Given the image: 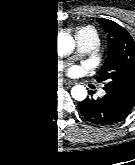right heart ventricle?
Masks as SVG:
<instances>
[{"instance_id": "right-heart-ventricle-1", "label": "right heart ventricle", "mask_w": 135, "mask_h": 165, "mask_svg": "<svg viewBox=\"0 0 135 165\" xmlns=\"http://www.w3.org/2000/svg\"><path fill=\"white\" fill-rule=\"evenodd\" d=\"M78 36H90L92 39H95V35L92 33L90 29H81L77 32Z\"/></svg>"}]
</instances>
